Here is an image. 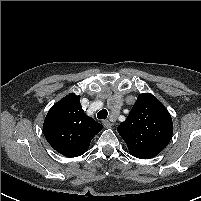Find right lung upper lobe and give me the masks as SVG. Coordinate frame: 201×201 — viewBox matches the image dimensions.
Here are the masks:
<instances>
[{
	"label": "right lung upper lobe",
	"instance_id": "1",
	"mask_svg": "<svg viewBox=\"0 0 201 201\" xmlns=\"http://www.w3.org/2000/svg\"><path fill=\"white\" fill-rule=\"evenodd\" d=\"M80 96H65L49 110L43 133L51 147L66 157L84 154L93 137L103 126L87 116L80 104Z\"/></svg>",
	"mask_w": 201,
	"mask_h": 201
}]
</instances>
